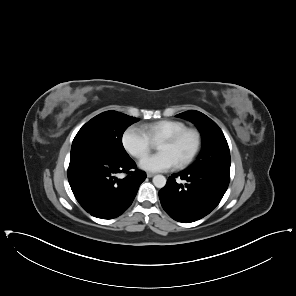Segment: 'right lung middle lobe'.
<instances>
[{
    "mask_svg": "<svg viewBox=\"0 0 296 296\" xmlns=\"http://www.w3.org/2000/svg\"><path fill=\"white\" fill-rule=\"evenodd\" d=\"M134 122L137 121L115 111H106L95 116L75 136L71 156L97 154L114 160L128 158L122 145V135Z\"/></svg>",
    "mask_w": 296,
    "mask_h": 296,
    "instance_id": "obj_1",
    "label": "right lung middle lobe"
}]
</instances>
